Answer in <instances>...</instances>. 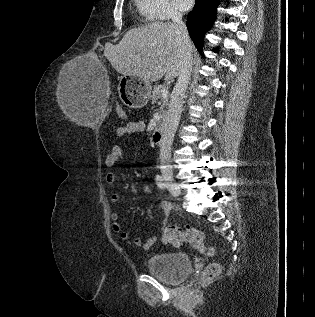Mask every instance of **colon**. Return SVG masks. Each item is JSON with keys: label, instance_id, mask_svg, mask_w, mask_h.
Instances as JSON below:
<instances>
[{"label": "colon", "instance_id": "5ec220e1", "mask_svg": "<svg viewBox=\"0 0 315 317\" xmlns=\"http://www.w3.org/2000/svg\"><path fill=\"white\" fill-rule=\"evenodd\" d=\"M118 114L121 118H125L126 113L123 108H118ZM162 241L170 244L189 243L202 253L211 254L212 249L208 248L204 244L203 233L196 228L186 227L184 229L177 226H169L164 229L162 234ZM221 271V265L219 263H211L204 270L201 280L207 282L215 278Z\"/></svg>", "mask_w": 315, "mask_h": 317}]
</instances>
